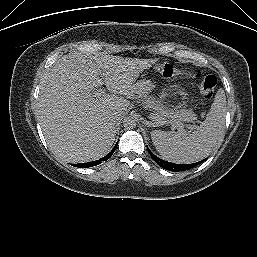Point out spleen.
<instances>
[{"instance_id":"obj_1","label":"spleen","mask_w":257,"mask_h":257,"mask_svg":"<svg viewBox=\"0 0 257 257\" xmlns=\"http://www.w3.org/2000/svg\"><path fill=\"white\" fill-rule=\"evenodd\" d=\"M226 96L219 90L206 119L192 133L171 134L153 130L152 142L161 157L167 161L188 164L207 157L224 136Z\"/></svg>"}]
</instances>
